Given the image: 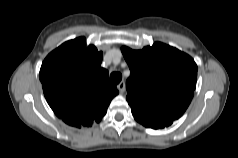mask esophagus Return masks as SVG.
<instances>
[{
  "label": "esophagus",
  "instance_id": "34e87169",
  "mask_svg": "<svg viewBox=\"0 0 238 158\" xmlns=\"http://www.w3.org/2000/svg\"><path fill=\"white\" fill-rule=\"evenodd\" d=\"M118 90L120 91V93H124L125 92V89H126V86H125V82L124 81H121L119 84H118Z\"/></svg>",
  "mask_w": 238,
  "mask_h": 158
}]
</instances>
